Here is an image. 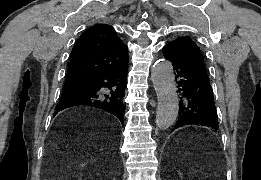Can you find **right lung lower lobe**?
<instances>
[{"instance_id": "1", "label": "right lung lower lobe", "mask_w": 261, "mask_h": 180, "mask_svg": "<svg viewBox=\"0 0 261 180\" xmlns=\"http://www.w3.org/2000/svg\"><path fill=\"white\" fill-rule=\"evenodd\" d=\"M127 70L128 64L94 74L84 89L61 95L57 112L72 106L87 105L110 112L123 124Z\"/></svg>"}]
</instances>
